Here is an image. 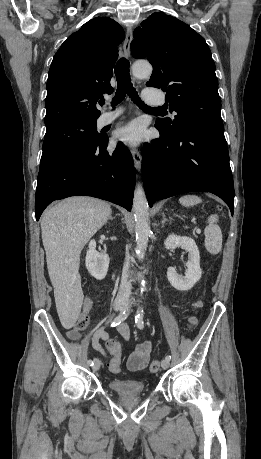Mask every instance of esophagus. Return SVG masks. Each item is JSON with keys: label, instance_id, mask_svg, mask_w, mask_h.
<instances>
[{"label": "esophagus", "instance_id": "1", "mask_svg": "<svg viewBox=\"0 0 261 459\" xmlns=\"http://www.w3.org/2000/svg\"><path fill=\"white\" fill-rule=\"evenodd\" d=\"M132 39H133V28L132 27H128L127 31H126V36H125V39H124L123 51H122L123 55L127 59L130 57V45H131ZM131 154H132V157H133V160H134L135 168H136V170L139 171L140 168H141V161H142L141 153H140V151L138 149L133 148L131 150Z\"/></svg>", "mask_w": 261, "mask_h": 459}]
</instances>
